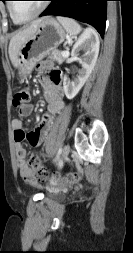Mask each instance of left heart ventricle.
<instances>
[{
    "label": "left heart ventricle",
    "instance_id": "left-heart-ventricle-1",
    "mask_svg": "<svg viewBox=\"0 0 133 253\" xmlns=\"http://www.w3.org/2000/svg\"><path fill=\"white\" fill-rule=\"evenodd\" d=\"M42 4V1H13L12 9L15 16L23 20L33 15Z\"/></svg>",
    "mask_w": 133,
    "mask_h": 253
}]
</instances>
